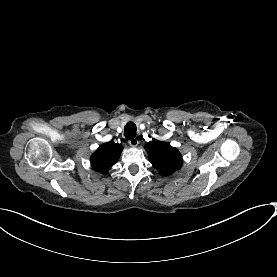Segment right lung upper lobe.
Segmentation results:
<instances>
[{
  "label": "right lung upper lobe",
  "instance_id": "cb5924a9",
  "mask_svg": "<svg viewBox=\"0 0 277 277\" xmlns=\"http://www.w3.org/2000/svg\"><path fill=\"white\" fill-rule=\"evenodd\" d=\"M123 147L120 144L108 142L102 144L91 156L94 170L105 173L115 165L121 155Z\"/></svg>",
  "mask_w": 277,
  "mask_h": 277
}]
</instances>
